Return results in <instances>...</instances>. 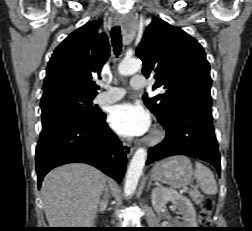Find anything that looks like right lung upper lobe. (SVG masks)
<instances>
[{
    "mask_svg": "<svg viewBox=\"0 0 252 231\" xmlns=\"http://www.w3.org/2000/svg\"><path fill=\"white\" fill-rule=\"evenodd\" d=\"M98 28L97 21H89L55 49L46 69L42 99L60 94L96 96L99 86L92 75L101 72L109 57L107 37L98 35Z\"/></svg>",
    "mask_w": 252,
    "mask_h": 231,
    "instance_id": "cb5924a9",
    "label": "right lung upper lobe"
}]
</instances>
